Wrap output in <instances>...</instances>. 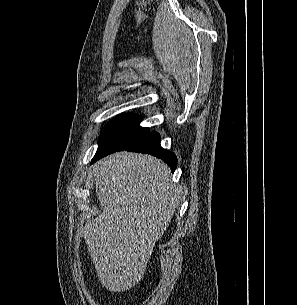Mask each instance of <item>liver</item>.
<instances>
[{
  "mask_svg": "<svg viewBox=\"0 0 297 305\" xmlns=\"http://www.w3.org/2000/svg\"><path fill=\"white\" fill-rule=\"evenodd\" d=\"M93 173L103 212L87 223L85 241L101 284L124 292L142 280L178 207L179 190L169 167L146 154L109 155Z\"/></svg>",
  "mask_w": 297,
  "mask_h": 305,
  "instance_id": "obj_1",
  "label": "liver"
}]
</instances>
